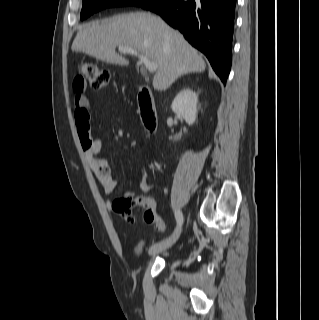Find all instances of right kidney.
<instances>
[{
	"instance_id": "right-kidney-1",
	"label": "right kidney",
	"mask_w": 319,
	"mask_h": 320,
	"mask_svg": "<svg viewBox=\"0 0 319 320\" xmlns=\"http://www.w3.org/2000/svg\"><path fill=\"white\" fill-rule=\"evenodd\" d=\"M198 95L191 89L181 90L174 98L171 109L184 117L188 125H192L197 117Z\"/></svg>"
}]
</instances>
